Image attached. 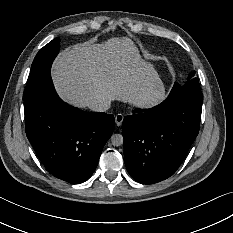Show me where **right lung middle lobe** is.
<instances>
[{
  "instance_id": "obj_1",
  "label": "right lung middle lobe",
  "mask_w": 233,
  "mask_h": 233,
  "mask_svg": "<svg viewBox=\"0 0 233 233\" xmlns=\"http://www.w3.org/2000/svg\"><path fill=\"white\" fill-rule=\"evenodd\" d=\"M59 43V38L53 39L36 55L32 63L31 72L26 84L24 92L25 99L40 89L49 79H51V65L58 54Z\"/></svg>"
}]
</instances>
